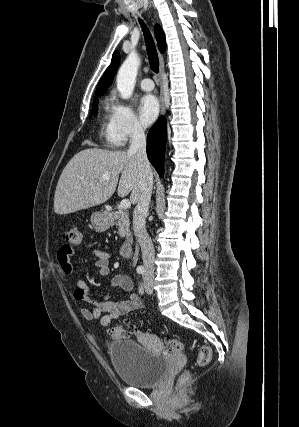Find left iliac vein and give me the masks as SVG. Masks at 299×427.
<instances>
[{
	"label": "left iliac vein",
	"instance_id": "4c4485c4",
	"mask_svg": "<svg viewBox=\"0 0 299 427\" xmlns=\"http://www.w3.org/2000/svg\"><path fill=\"white\" fill-rule=\"evenodd\" d=\"M145 291L148 294H152L153 293V283L151 280H146L145 281Z\"/></svg>",
	"mask_w": 299,
	"mask_h": 427
}]
</instances>
